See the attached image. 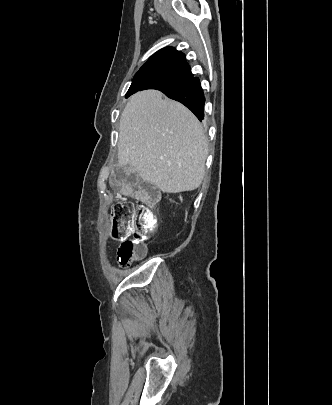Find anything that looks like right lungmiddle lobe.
<instances>
[{"instance_id": "1", "label": "right lung middle lobe", "mask_w": 332, "mask_h": 405, "mask_svg": "<svg viewBox=\"0 0 332 405\" xmlns=\"http://www.w3.org/2000/svg\"><path fill=\"white\" fill-rule=\"evenodd\" d=\"M184 79L180 76L169 75L161 72L136 73L132 80L129 91H139L145 89H165L174 86Z\"/></svg>"}]
</instances>
